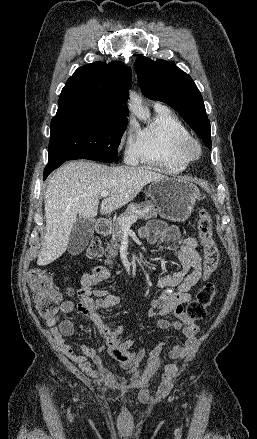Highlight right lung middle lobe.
<instances>
[{"label":"right lung middle lobe","mask_w":257,"mask_h":439,"mask_svg":"<svg viewBox=\"0 0 257 439\" xmlns=\"http://www.w3.org/2000/svg\"><path fill=\"white\" fill-rule=\"evenodd\" d=\"M127 115L73 112L51 121L48 164L73 159L115 161Z\"/></svg>","instance_id":"1"}]
</instances>
